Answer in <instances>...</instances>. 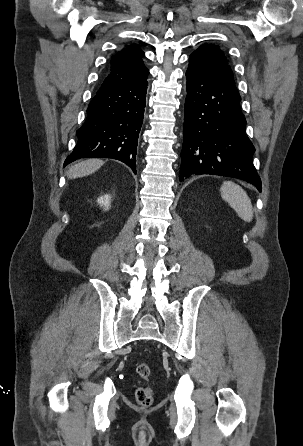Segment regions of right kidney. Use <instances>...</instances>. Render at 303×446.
<instances>
[{
	"instance_id": "obj_1",
	"label": "right kidney",
	"mask_w": 303,
	"mask_h": 446,
	"mask_svg": "<svg viewBox=\"0 0 303 446\" xmlns=\"http://www.w3.org/2000/svg\"><path fill=\"white\" fill-rule=\"evenodd\" d=\"M97 202L102 206L105 210H108L111 203V197L109 195H104L98 198Z\"/></svg>"
}]
</instances>
